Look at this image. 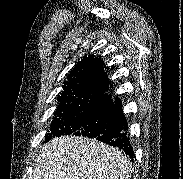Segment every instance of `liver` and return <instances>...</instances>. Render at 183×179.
<instances>
[{
    "label": "liver",
    "instance_id": "1",
    "mask_svg": "<svg viewBox=\"0 0 183 179\" xmlns=\"http://www.w3.org/2000/svg\"><path fill=\"white\" fill-rule=\"evenodd\" d=\"M128 158L95 139L62 136L46 143L35 160L32 179H127Z\"/></svg>",
    "mask_w": 183,
    "mask_h": 179
}]
</instances>
